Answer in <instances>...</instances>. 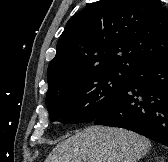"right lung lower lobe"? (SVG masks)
<instances>
[{"mask_svg": "<svg viewBox=\"0 0 168 162\" xmlns=\"http://www.w3.org/2000/svg\"><path fill=\"white\" fill-rule=\"evenodd\" d=\"M94 124L132 130L168 147V57L131 73Z\"/></svg>", "mask_w": 168, "mask_h": 162, "instance_id": "1", "label": "right lung lower lobe"}]
</instances>
